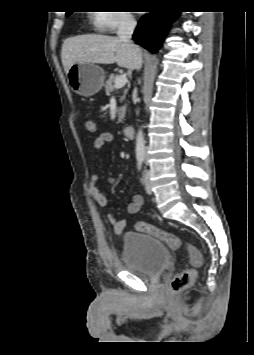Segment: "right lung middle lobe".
I'll list each match as a JSON object with an SVG mask.
<instances>
[{
	"label": "right lung middle lobe",
	"instance_id": "right-lung-middle-lobe-1",
	"mask_svg": "<svg viewBox=\"0 0 254 355\" xmlns=\"http://www.w3.org/2000/svg\"><path fill=\"white\" fill-rule=\"evenodd\" d=\"M70 14H71V12H67V13H66L67 16L70 15Z\"/></svg>",
	"mask_w": 254,
	"mask_h": 355
}]
</instances>
